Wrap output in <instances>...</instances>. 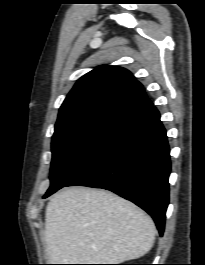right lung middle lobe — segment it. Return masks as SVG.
<instances>
[{"label": "right lung middle lobe", "mask_w": 205, "mask_h": 265, "mask_svg": "<svg viewBox=\"0 0 205 265\" xmlns=\"http://www.w3.org/2000/svg\"><path fill=\"white\" fill-rule=\"evenodd\" d=\"M114 123H98L54 133L52 137L51 185L44 198L64 187L91 162L124 128Z\"/></svg>", "instance_id": "right-lung-middle-lobe-1"}]
</instances>
